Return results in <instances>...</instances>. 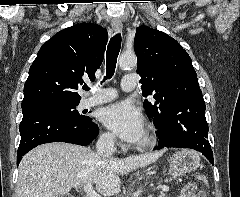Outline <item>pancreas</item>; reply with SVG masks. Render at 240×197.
<instances>
[{"label": "pancreas", "instance_id": "cf45deb5", "mask_svg": "<svg viewBox=\"0 0 240 197\" xmlns=\"http://www.w3.org/2000/svg\"><path fill=\"white\" fill-rule=\"evenodd\" d=\"M159 197H165V194L161 193V195Z\"/></svg>", "mask_w": 240, "mask_h": 197}]
</instances>
